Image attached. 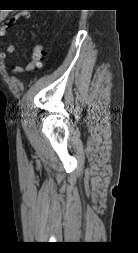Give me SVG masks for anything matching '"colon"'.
Instances as JSON below:
<instances>
[{
	"label": "colon",
	"instance_id": "1",
	"mask_svg": "<svg viewBox=\"0 0 138 253\" xmlns=\"http://www.w3.org/2000/svg\"><path fill=\"white\" fill-rule=\"evenodd\" d=\"M44 54H45L44 47L40 44L36 45L32 50L30 61L26 67V70L33 71L41 67Z\"/></svg>",
	"mask_w": 138,
	"mask_h": 253
}]
</instances>
